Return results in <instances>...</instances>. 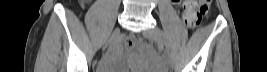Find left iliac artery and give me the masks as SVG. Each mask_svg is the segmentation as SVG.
<instances>
[{
    "label": "left iliac artery",
    "instance_id": "44dca946",
    "mask_svg": "<svg viewBox=\"0 0 267 72\" xmlns=\"http://www.w3.org/2000/svg\"><path fill=\"white\" fill-rule=\"evenodd\" d=\"M164 43L166 45L165 53L168 54L169 53V45H168V42H167V40L165 38H164Z\"/></svg>",
    "mask_w": 267,
    "mask_h": 72
}]
</instances>
